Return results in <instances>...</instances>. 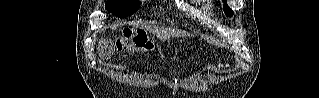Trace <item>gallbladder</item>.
Returning a JSON list of instances; mask_svg holds the SVG:
<instances>
[{
	"label": "gallbladder",
	"mask_w": 319,
	"mask_h": 98,
	"mask_svg": "<svg viewBox=\"0 0 319 98\" xmlns=\"http://www.w3.org/2000/svg\"><path fill=\"white\" fill-rule=\"evenodd\" d=\"M112 53H113V50L110 49V50H108L107 52L102 51V52H101V55H102L103 57H105V58H109Z\"/></svg>",
	"instance_id": "obj_1"
}]
</instances>
